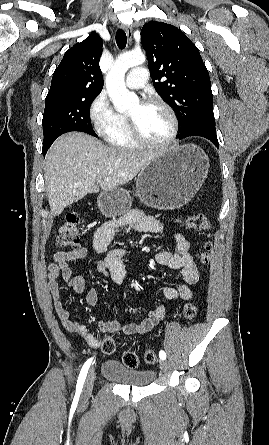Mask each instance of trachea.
I'll return each mask as SVG.
<instances>
[{
  "label": "trachea",
  "instance_id": "trachea-1",
  "mask_svg": "<svg viewBox=\"0 0 269 445\" xmlns=\"http://www.w3.org/2000/svg\"><path fill=\"white\" fill-rule=\"evenodd\" d=\"M116 43L120 49H124L127 44V37L124 30L119 29L116 33Z\"/></svg>",
  "mask_w": 269,
  "mask_h": 445
}]
</instances>
